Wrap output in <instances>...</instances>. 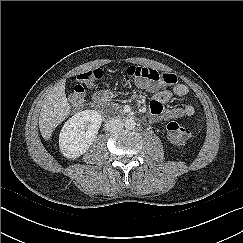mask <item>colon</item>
Masks as SVG:
<instances>
[{"label": "colon", "instance_id": "1", "mask_svg": "<svg viewBox=\"0 0 243 243\" xmlns=\"http://www.w3.org/2000/svg\"><path fill=\"white\" fill-rule=\"evenodd\" d=\"M126 72L137 82L155 87L172 86L175 85L178 81L174 74L160 72L141 66H129ZM102 77L103 71L100 68L80 73L76 77L77 84L74 86L72 92L70 93L71 102L77 108H83L85 106V89L83 85H92L95 81L101 79ZM167 131L170 139L179 145L187 143L191 138L190 131L175 121L169 122L167 124Z\"/></svg>", "mask_w": 243, "mask_h": 243}]
</instances>
